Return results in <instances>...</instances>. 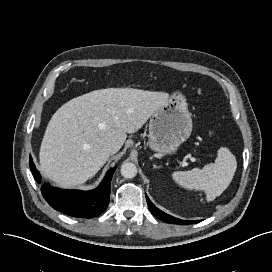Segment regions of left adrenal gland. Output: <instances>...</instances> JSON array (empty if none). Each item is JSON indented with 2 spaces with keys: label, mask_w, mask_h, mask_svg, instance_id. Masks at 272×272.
Wrapping results in <instances>:
<instances>
[{
  "label": "left adrenal gland",
  "mask_w": 272,
  "mask_h": 272,
  "mask_svg": "<svg viewBox=\"0 0 272 272\" xmlns=\"http://www.w3.org/2000/svg\"><path fill=\"white\" fill-rule=\"evenodd\" d=\"M153 168H160L159 166H156L155 164H153Z\"/></svg>",
  "instance_id": "1"
}]
</instances>
